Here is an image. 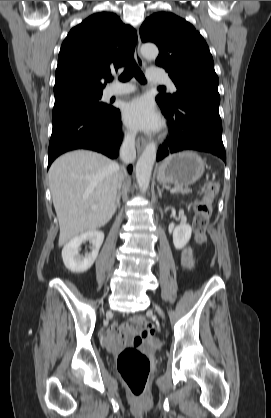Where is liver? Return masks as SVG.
<instances>
[{
  "label": "liver",
  "mask_w": 271,
  "mask_h": 418,
  "mask_svg": "<svg viewBox=\"0 0 271 418\" xmlns=\"http://www.w3.org/2000/svg\"><path fill=\"white\" fill-rule=\"evenodd\" d=\"M119 176L116 162L92 151L69 152L53 162L48 177L60 226L59 246L110 221Z\"/></svg>",
  "instance_id": "obj_1"
}]
</instances>
